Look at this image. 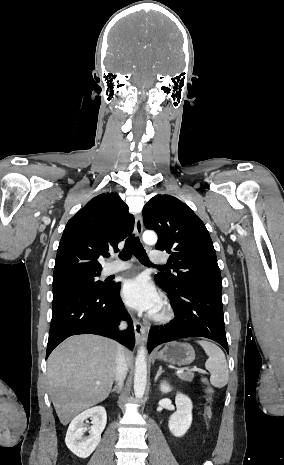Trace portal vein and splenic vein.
<instances>
[{
  "label": "portal vein and splenic vein",
  "mask_w": 284,
  "mask_h": 465,
  "mask_svg": "<svg viewBox=\"0 0 284 465\" xmlns=\"http://www.w3.org/2000/svg\"><path fill=\"white\" fill-rule=\"evenodd\" d=\"M184 371H192V369H180V371H176V375H179V373H184ZM196 371H199V373H206V371H202V369H196Z\"/></svg>",
  "instance_id": "1"
}]
</instances>
